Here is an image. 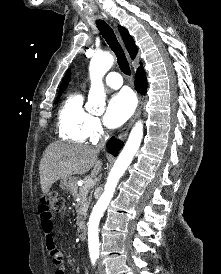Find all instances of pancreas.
Here are the masks:
<instances>
[{
  "label": "pancreas",
  "instance_id": "pancreas-1",
  "mask_svg": "<svg viewBox=\"0 0 221 274\" xmlns=\"http://www.w3.org/2000/svg\"><path fill=\"white\" fill-rule=\"evenodd\" d=\"M89 190L90 189L84 184L82 187H80L79 192L73 195L76 199H79L76 205L77 225L79 227H82L84 225L88 207L92 200V197L88 196Z\"/></svg>",
  "mask_w": 221,
  "mask_h": 274
}]
</instances>
